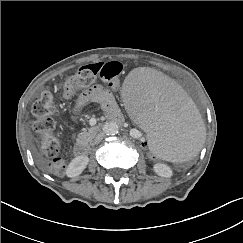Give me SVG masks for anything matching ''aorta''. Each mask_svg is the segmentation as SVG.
Instances as JSON below:
<instances>
[{
  "label": "aorta",
  "mask_w": 243,
  "mask_h": 243,
  "mask_svg": "<svg viewBox=\"0 0 243 243\" xmlns=\"http://www.w3.org/2000/svg\"><path fill=\"white\" fill-rule=\"evenodd\" d=\"M118 131L119 125L116 122H108L103 126V132L108 136L116 135Z\"/></svg>",
  "instance_id": "aorta-1"
}]
</instances>
